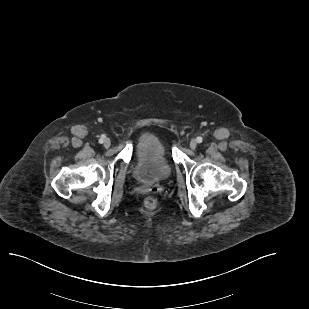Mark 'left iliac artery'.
Listing matches in <instances>:
<instances>
[{
	"instance_id": "left-iliac-artery-1",
	"label": "left iliac artery",
	"mask_w": 309,
	"mask_h": 309,
	"mask_svg": "<svg viewBox=\"0 0 309 309\" xmlns=\"http://www.w3.org/2000/svg\"><path fill=\"white\" fill-rule=\"evenodd\" d=\"M202 140H203V139H202V137H200V136L196 138V141H197L198 143H201Z\"/></svg>"
}]
</instances>
